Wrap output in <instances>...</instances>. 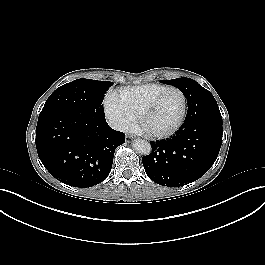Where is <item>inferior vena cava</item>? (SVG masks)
Segmentation results:
<instances>
[{"label": "inferior vena cava", "mask_w": 265, "mask_h": 265, "mask_svg": "<svg viewBox=\"0 0 265 265\" xmlns=\"http://www.w3.org/2000/svg\"><path fill=\"white\" fill-rule=\"evenodd\" d=\"M108 124L114 130L123 131V132L127 131L126 122L121 120V119H119V118H115V117L109 118L108 119Z\"/></svg>", "instance_id": "1"}]
</instances>
